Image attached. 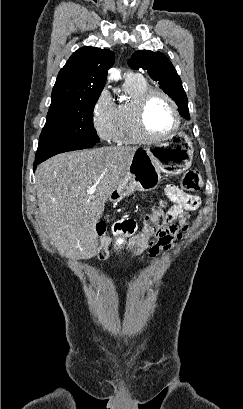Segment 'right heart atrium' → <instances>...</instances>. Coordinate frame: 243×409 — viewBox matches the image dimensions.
<instances>
[{"instance_id":"d8ad5b80","label":"right heart atrium","mask_w":243,"mask_h":409,"mask_svg":"<svg viewBox=\"0 0 243 409\" xmlns=\"http://www.w3.org/2000/svg\"><path fill=\"white\" fill-rule=\"evenodd\" d=\"M92 126L102 140H113L116 129V108L107 90L101 91L93 105Z\"/></svg>"}]
</instances>
